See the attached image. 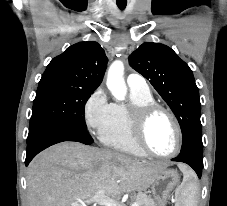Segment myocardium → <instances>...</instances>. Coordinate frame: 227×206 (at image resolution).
Instances as JSON below:
<instances>
[{"label":"myocardium","instance_id":"myocardium-1","mask_svg":"<svg viewBox=\"0 0 227 206\" xmlns=\"http://www.w3.org/2000/svg\"><path fill=\"white\" fill-rule=\"evenodd\" d=\"M166 114L174 125L176 131V146L169 154H159L151 149L147 142V129L150 120L156 114ZM131 133L136 145L147 155L156 158H171L178 154L182 147L183 135L179 121L174 113L167 107L156 102L141 106H134L130 109Z\"/></svg>","mask_w":227,"mask_h":206}]
</instances>
